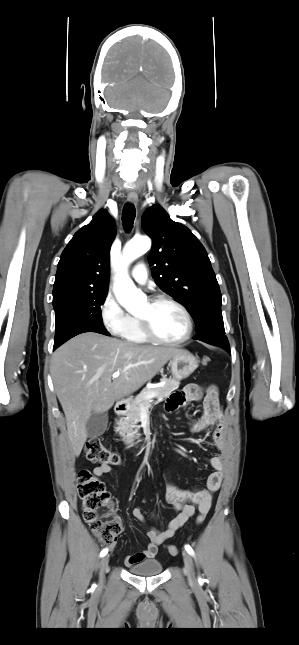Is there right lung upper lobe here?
Instances as JSON below:
<instances>
[{
    "mask_svg": "<svg viewBox=\"0 0 299 645\" xmlns=\"http://www.w3.org/2000/svg\"><path fill=\"white\" fill-rule=\"evenodd\" d=\"M115 225L106 210L75 233L58 263L53 301L66 293L108 291Z\"/></svg>",
    "mask_w": 299,
    "mask_h": 645,
    "instance_id": "1",
    "label": "right lung upper lobe"
}]
</instances>
